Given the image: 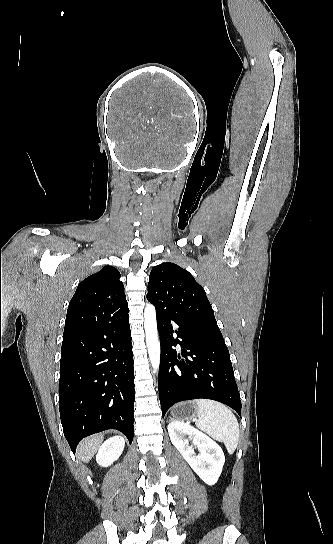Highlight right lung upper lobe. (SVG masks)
Listing matches in <instances>:
<instances>
[{
    "instance_id": "cb5924a9",
    "label": "right lung upper lobe",
    "mask_w": 333,
    "mask_h": 544,
    "mask_svg": "<svg viewBox=\"0 0 333 544\" xmlns=\"http://www.w3.org/2000/svg\"><path fill=\"white\" fill-rule=\"evenodd\" d=\"M119 271L105 266L84 279L72 297L63 336L123 318L128 312Z\"/></svg>"
}]
</instances>
